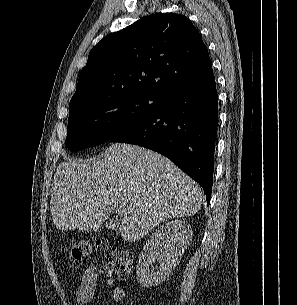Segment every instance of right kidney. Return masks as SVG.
I'll return each mask as SVG.
<instances>
[{
	"instance_id": "right-kidney-1",
	"label": "right kidney",
	"mask_w": 297,
	"mask_h": 305,
	"mask_svg": "<svg viewBox=\"0 0 297 305\" xmlns=\"http://www.w3.org/2000/svg\"><path fill=\"white\" fill-rule=\"evenodd\" d=\"M191 237V226L184 220H174L158 227L139 257L136 280L140 286L150 288L162 283L179 263ZM156 261L159 266L150 270Z\"/></svg>"
}]
</instances>
